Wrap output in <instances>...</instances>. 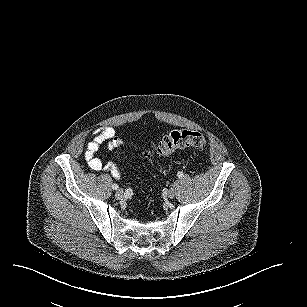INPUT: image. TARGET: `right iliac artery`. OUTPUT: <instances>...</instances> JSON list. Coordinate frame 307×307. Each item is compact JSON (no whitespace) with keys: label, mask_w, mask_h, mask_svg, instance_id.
Masks as SVG:
<instances>
[{"label":"right iliac artery","mask_w":307,"mask_h":307,"mask_svg":"<svg viewBox=\"0 0 307 307\" xmlns=\"http://www.w3.org/2000/svg\"><path fill=\"white\" fill-rule=\"evenodd\" d=\"M112 188H113L114 190H117L119 187H118L117 184H113V185H112Z\"/></svg>","instance_id":"obj_1"}]
</instances>
